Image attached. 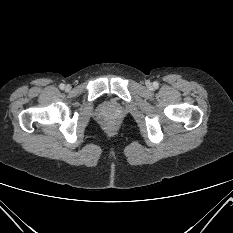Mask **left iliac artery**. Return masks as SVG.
Listing matches in <instances>:
<instances>
[{"label":"left iliac artery","mask_w":233,"mask_h":233,"mask_svg":"<svg viewBox=\"0 0 233 233\" xmlns=\"http://www.w3.org/2000/svg\"><path fill=\"white\" fill-rule=\"evenodd\" d=\"M158 85H159L158 82H154V83H153V86H154L155 88H157Z\"/></svg>","instance_id":"obj_1"}]
</instances>
